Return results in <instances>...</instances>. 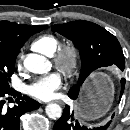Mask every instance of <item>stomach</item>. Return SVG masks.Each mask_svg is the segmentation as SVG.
I'll return each instance as SVG.
<instances>
[{"mask_svg":"<svg viewBox=\"0 0 130 130\" xmlns=\"http://www.w3.org/2000/svg\"><path fill=\"white\" fill-rule=\"evenodd\" d=\"M113 85L104 74H95L85 87L77 113L84 119L102 116L110 107Z\"/></svg>","mask_w":130,"mask_h":130,"instance_id":"1","label":"stomach"}]
</instances>
